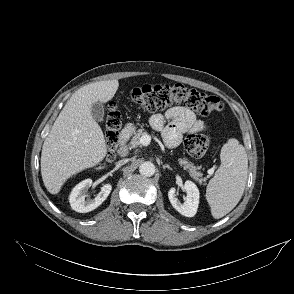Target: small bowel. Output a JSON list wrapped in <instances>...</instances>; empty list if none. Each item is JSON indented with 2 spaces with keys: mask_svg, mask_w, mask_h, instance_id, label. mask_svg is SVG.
<instances>
[{
  "mask_svg": "<svg viewBox=\"0 0 294 294\" xmlns=\"http://www.w3.org/2000/svg\"><path fill=\"white\" fill-rule=\"evenodd\" d=\"M150 125L162 132L168 147H176L186 133H197L207 129L204 121L197 119L190 109L183 106L171 107L164 115H152Z\"/></svg>",
  "mask_w": 294,
  "mask_h": 294,
  "instance_id": "small-bowel-1",
  "label": "small bowel"
}]
</instances>
